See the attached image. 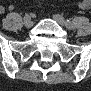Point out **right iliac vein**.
<instances>
[{
    "mask_svg": "<svg viewBox=\"0 0 91 91\" xmlns=\"http://www.w3.org/2000/svg\"><path fill=\"white\" fill-rule=\"evenodd\" d=\"M24 25H25V27H27V28H30V27H32V25H33V21L31 20V18L28 16H26V17H24Z\"/></svg>",
    "mask_w": 91,
    "mask_h": 91,
    "instance_id": "63e3f726",
    "label": "right iliac vein"
}]
</instances>
